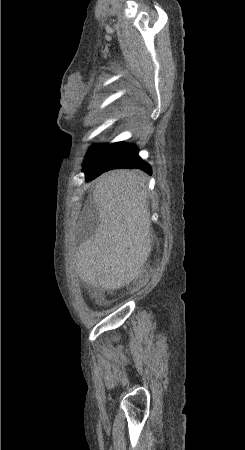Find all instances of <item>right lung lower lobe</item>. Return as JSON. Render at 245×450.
Instances as JSON below:
<instances>
[{
  "instance_id": "right-lung-lower-lobe-1",
  "label": "right lung lower lobe",
  "mask_w": 245,
  "mask_h": 450,
  "mask_svg": "<svg viewBox=\"0 0 245 450\" xmlns=\"http://www.w3.org/2000/svg\"><path fill=\"white\" fill-rule=\"evenodd\" d=\"M115 168H140L149 174L152 173L150 165L138 156L137 149L124 147L108 153L97 166L84 171L86 181L93 180L103 172Z\"/></svg>"
}]
</instances>
